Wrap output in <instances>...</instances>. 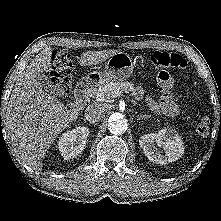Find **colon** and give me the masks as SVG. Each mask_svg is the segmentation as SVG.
<instances>
[{
	"label": "colon",
	"instance_id": "1",
	"mask_svg": "<svg viewBox=\"0 0 221 221\" xmlns=\"http://www.w3.org/2000/svg\"><path fill=\"white\" fill-rule=\"evenodd\" d=\"M151 63L158 68H178L185 69L187 61L177 53L167 51H156L151 57ZM53 63V72L51 81L55 91L59 94H66L70 89L71 77L73 72V63L68 51H53L51 54ZM157 80L165 91H169L172 86V78L165 70H160L157 74ZM210 131V119L208 116H202L197 125V132L205 136Z\"/></svg>",
	"mask_w": 221,
	"mask_h": 221
}]
</instances>
